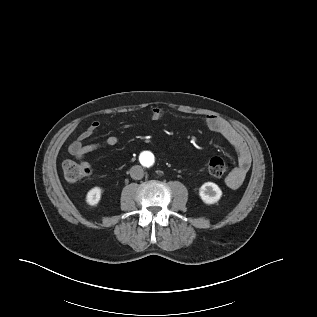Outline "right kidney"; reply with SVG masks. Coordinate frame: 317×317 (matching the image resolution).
Returning a JSON list of instances; mask_svg holds the SVG:
<instances>
[{
  "label": "right kidney",
  "mask_w": 317,
  "mask_h": 317,
  "mask_svg": "<svg viewBox=\"0 0 317 317\" xmlns=\"http://www.w3.org/2000/svg\"><path fill=\"white\" fill-rule=\"evenodd\" d=\"M101 198V188L100 187H94L92 188L86 196V202L89 205H96L100 201Z\"/></svg>",
  "instance_id": "obj_1"
}]
</instances>
